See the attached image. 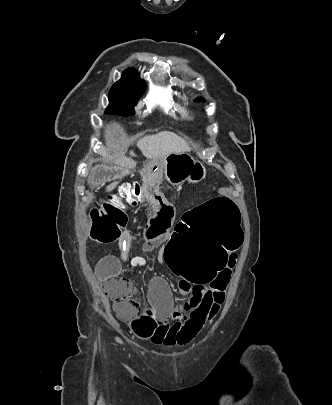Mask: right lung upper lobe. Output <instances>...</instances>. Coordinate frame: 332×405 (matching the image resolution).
<instances>
[{
  "instance_id": "1",
  "label": "right lung upper lobe",
  "mask_w": 332,
  "mask_h": 405,
  "mask_svg": "<svg viewBox=\"0 0 332 405\" xmlns=\"http://www.w3.org/2000/svg\"><path fill=\"white\" fill-rule=\"evenodd\" d=\"M131 88L144 89V81L138 78V72L133 68H128L122 74V78L118 81Z\"/></svg>"
}]
</instances>
